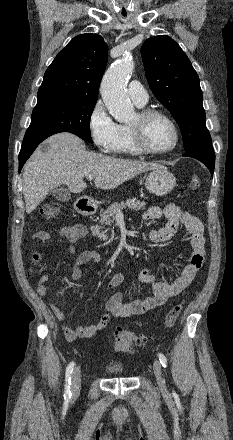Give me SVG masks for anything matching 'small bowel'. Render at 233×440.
I'll return each instance as SVG.
<instances>
[{
    "mask_svg": "<svg viewBox=\"0 0 233 440\" xmlns=\"http://www.w3.org/2000/svg\"><path fill=\"white\" fill-rule=\"evenodd\" d=\"M164 218L165 225L160 229L151 230L148 233V240L153 244H162L175 235L180 225H183L189 235L192 250L189 263L185 265L182 272L171 282L157 279L147 268H143L138 275L140 282L151 285L152 295L143 299H135L129 302L123 301L122 293H114L106 302L105 313L95 324L63 327L67 340L74 341L77 338H88L94 336L98 331L105 329L112 318H127L135 315L145 314L156 307L162 306L166 301L183 292L192 282L196 273L202 268L206 256V240L203 233V226L200 220L191 213L181 209L175 203L168 204L163 210L159 206L150 207L144 214L146 221ZM87 227L76 223L61 227L58 234L69 241V252L74 258L70 278L77 281L83 276V267L89 263H98L100 254L94 250H85L80 253L76 251L75 244L86 236ZM48 231H40L34 237L36 246L45 243L50 239ZM126 278L124 272L113 274L106 283V289H115L120 286ZM37 293L45 296L48 293V277L43 274L38 280ZM50 309L59 321L66 319L65 313L54 303Z\"/></svg>",
    "mask_w": 233,
    "mask_h": 440,
    "instance_id": "obj_1",
    "label": "small bowel"
}]
</instances>
